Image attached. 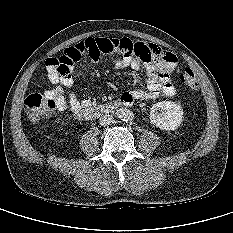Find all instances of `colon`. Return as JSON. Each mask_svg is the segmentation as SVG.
Segmentation results:
<instances>
[{
	"label": "colon",
	"instance_id": "1",
	"mask_svg": "<svg viewBox=\"0 0 233 233\" xmlns=\"http://www.w3.org/2000/svg\"><path fill=\"white\" fill-rule=\"evenodd\" d=\"M131 52V45L126 39H87L74 47L67 48L61 56L52 58L51 62L56 70L64 75L70 73L74 63L83 58L96 61L102 55ZM179 79L188 88L198 89V81L189 67L181 71ZM25 105L29 117L39 120L54 111L56 101L52 93L34 92L26 97Z\"/></svg>",
	"mask_w": 233,
	"mask_h": 233
}]
</instances>
